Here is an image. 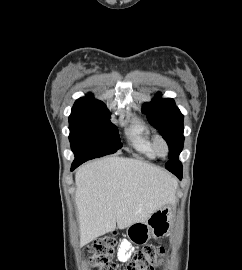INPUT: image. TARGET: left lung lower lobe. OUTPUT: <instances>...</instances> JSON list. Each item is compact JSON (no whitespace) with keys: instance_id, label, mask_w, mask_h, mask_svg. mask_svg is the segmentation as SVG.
<instances>
[{"instance_id":"left-lung-lower-lobe-1","label":"left lung lower lobe","mask_w":242,"mask_h":270,"mask_svg":"<svg viewBox=\"0 0 242 270\" xmlns=\"http://www.w3.org/2000/svg\"><path fill=\"white\" fill-rule=\"evenodd\" d=\"M177 177H178L179 179H181V178H182V174H178Z\"/></svg>"}]
</instances>
